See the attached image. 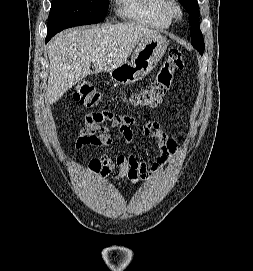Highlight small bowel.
<instances>
[{"label": "small bowel", "instance_id": "obj_1", "mask_svg": "<svg viewBox=\"0 0 253 271\" xmlns=\"http://www.w3.org/2000/svg\"><path fill=\"white\" fill-rule=\"evenodd\" d=\"M111 129H117L126 142H131L138 129L137 121L129 115L114 114L110 112H93L86 115L83 127L76 140L75 147L78 149L89 145L100 147L111 144ZM141 133L156 140L161 151V156L153 162L150 168L144 161L134 155L119 154L115 157L99 155L91 157L87 162L90 174H107L114 168L118 169L116 179L129 178L133 182L147 177V173L160 171L179 152L176 139L167 133L158 121H148L140 128Z\"/></svg>", "mask_w": 253, "mask_h": 271}]
</instances>
